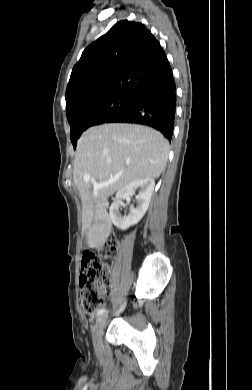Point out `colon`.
I'll return each instance as SVG.
<instances>
[{"instance_id": "obj_1", "label": "colon", "mask_w": 252, "mask_h": 390, "mask_svg": "<svg viewBox=\"0 0 252 390\" xmlns=\"http://www.w3.org/2000/svg\"><path fill=\"white\" fill-rule=\"evenodd\" d=\"M118 245V237L113 234L95 251L86 252L82 256L79 279L82 307L90 316H94L100 310L103 301L102 292L108 284L107 266L104 260L116 254Z\"/></svg>"}]
</instances>
